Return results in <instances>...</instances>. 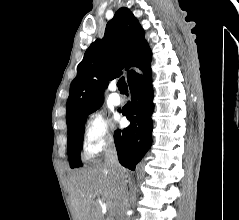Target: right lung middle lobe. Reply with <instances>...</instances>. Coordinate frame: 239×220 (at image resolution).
<instances>
[{
	"label": "right lung middle lobe",
	"instance_id": "right-lung-middle-lobe-1",
	"mask_svg": "<svg viewBox=\"0 0 239 220\" xmlns=\"http://www.w3.org/2000/svg\"><path fill=\"white\" fill-rule=\"evenodd\" d=\"M92 112L82 115L77 120H75L70 126H68L67 154L71 168L82 166L80 159V150L83 147V137L85 129L84 124L86 122L87 116Z\"/></svg>",
	"mask_w": 239,
	"mask_h": 220
}]
</instances>
